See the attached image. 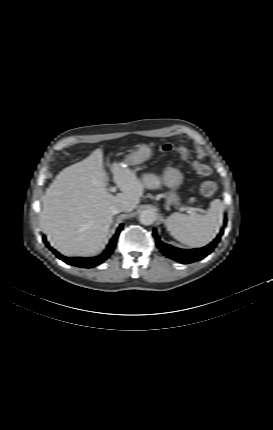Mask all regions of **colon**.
<instances>
[{
  "label": "colon",
  "instance_id": "5ec220e1",
  "mask_svg": "<svg viewBox=\"0 0 273 430\" xmlns=\"http://www.w3.org/2000/svg\"><path fill=\"white\" fill-rule=\"evenodd\" d=\"M161 150L163 152H176L178 153L181 158L186 161L190 166L193 168V170L200 176H208L211 173V169L202 163H199L195 160H193L190 156V152L188 149L184 147H174L171 144H164L161 147ZM217 186L213 181H204L201 183L199 190L200 193L205 197H210L216 192Z\"/></svg>",
  "mask_w": 273,
  "mask_h": 430
}]
</instances>
